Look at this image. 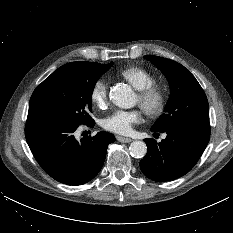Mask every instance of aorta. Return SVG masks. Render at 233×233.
<instances>
[{
  "label": "aorta",
  "instance_id": "aorta-1",
  "mask_svg": "<svg viewBox=\"0 0 233 233\" xmlns=\"http://www.w3.org/2000/svg\"><path fill=\"white\" fill-rule=\"evenodd\" d=\"M111 101L118 107L131 108L136 103L135 93L130 86L118 84L110 91ZM129 151L135 158H143L147 153V146L143 141H133L130 144Z\"/></svg>",
  "mask_w": 233,
  "mask_h": 233
}]
</instances>
